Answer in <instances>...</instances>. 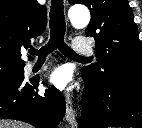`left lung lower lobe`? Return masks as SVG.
<instances>
[{
	"instance_id": "obj_1",
	"label": "left lung lower lobe",
	"mask_w": 142,
	"mask_h": 128,
	"mask_svg": "<svg viewBox=\"0 0 142 128\" xmlns=\"http://www.w3.org/2000/svg\"><path fill=\"white\" fill-rule=\"evenodd\" d=\"M88 95L82 99L80 128H142V85L121 81L100 84L82 69Z\"/></svg>"
}]
</instances>
